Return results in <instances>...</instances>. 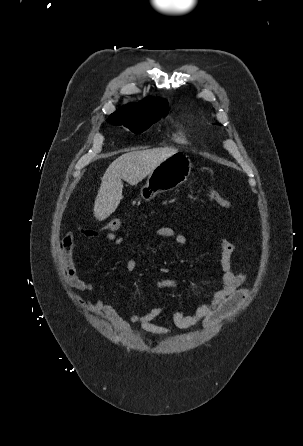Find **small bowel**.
I'll return each instance as SVG.
<instances>
[{
	"instance_id": "obj_1",
	"label": "small bowel",
	"mask_w": 303,
	"mask_h": 446,
	"mask_svg": "<svg viewBox=\"0 0 303 446\" xmlns=\"http://www.w3.org/2000/svg\"><path fill=\"white\" fill-rule=\"evenodd\" d=\"M76 233L90 239L97 238L98 233L78 226L74 231L66 233L59 241L60 260L67 283L74 289L88 294L93 290V285L79 277L74 260ZM153 235L157 238L171 240L180 246L188 243L187 236L167 226L155 229ZM130 237L129 233L119 237L112 233L105 234L106 240L113 242L116 246ZM220 248L222 272L220 287L208 302L200 304L193 313H188L187 308L174 312L172 319L178 328H188L198 323H202L206 328L212 327L232 313L246 299L248 292L245 288H242L246 277L243 273H236L232 269V255L235 246L230 241L223 239ZM125 265L128 271H133L136 268V261L130 257L126 260ZM180 287L181 282L176 278H163L155 282V288L158 290L178 289ZM80 303L86 310L96 314L119 330H131L133 325L138 324L143 332L151 335L167 336L170 332L168 328L154 322L165 311L166 307L164 305L157 306L145 314H130L129 318L125 319L115 310L113 303L107 298L102 297L95 301L80 299Z\"/></svg>"
}]
</instances>
